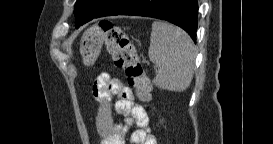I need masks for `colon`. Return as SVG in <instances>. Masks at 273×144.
<instances>
[{"label":"colon","mask_w":273,"mask_h":144,"mask_svg":"<svg viewBox=\"0 0 273 144\" xmlns=\"http://www.w3.org/2000/svg\"><path fill=\"white\" fill-rule=\"evenodd\" d=\"M103 45L107 46L115 66L123 70L139 99L148 102L151 98L150 80L133 43L120 26L109 20H100L84 32L80 49L84 63L92 64Z\"/></svg>","instance_id":"5ec220e1"}]
</instances>
